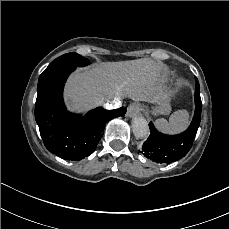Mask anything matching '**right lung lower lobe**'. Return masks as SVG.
Here are the masks:
<instances>
[{"mask_svg": "<svg viewBox=\"0 0 229 229\" xmlns=\"http://www.w3.org/2000/svg\"><path fill=\"white\" fill-rule=\"evenodd\" d=\"M74 70L75 67H65L39 77L35 119L44 145L51 153L79 161L93 153L103 136L105 124L124 116L126 108L99 107L84 116L68 112L63 102V87Z\"/></svg>", "mask_w": 229, "mask_h": 229, "instance_id": "right-lung-lower-lobe-1", "label": "right lung lower lobe"}]
</instances>
